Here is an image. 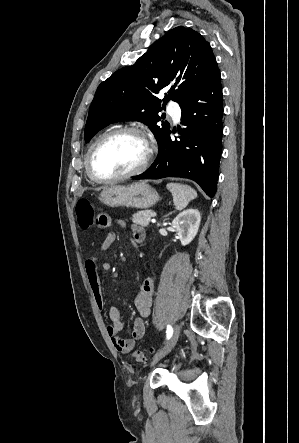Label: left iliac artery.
Listing matches in <instances>:
<instances>
[{
  "label": "left iliac artery",
  "instance_id": "left-iliac-artery-1",
  "mask_svg": "<svg viewBox=\"0 0 299 443\" xmlns=\"http://www.w3.org/2000/svg\"><path fill=\"white\" fill-rule=\"evenodd\" d=\"M166 333H167V339H170L173 334V328L171 325H167Z\"/></svg>",
  "mask_w": 299,
  "mask_h": 443
}]
</instances>
